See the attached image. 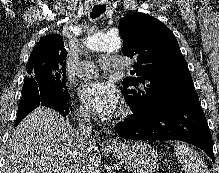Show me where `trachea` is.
<instances>
[{
  "label": "trachea",
  "mask_w": 219,
  "mask_h": 173,
  "mask_svg": "<svg viewBox=\"0 0 219 173\" xmlns=\"http://www.w3.org/2000/svg\"><path fill=\"white\" fill-rule=\"evenodd\" d=\"M106 11V6L104 5H95L90 13V17L92 19H95L99 17L101 14H103Z\"/></svg>",
  "instance_id": "3493384b"
}]
</instances>
